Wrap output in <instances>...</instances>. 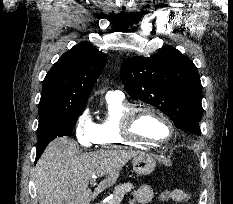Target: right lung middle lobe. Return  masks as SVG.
<instances>
[{"instance_id":"dd1d6c3e","label":"right lung middle lobe","mask_w":233,"mask_h":204,"mask_svg":"<svg viewBox=\"0 0 233 204\" xmlns=\"http://www.w3.org/2000/svg\"><path fill=\"white\" fill-rule=\"evenodd\" d=\"M83 109L69 113L53 114L40 117L38 126V146L46 145L56 137L71 135L73 127Z\"/></svg>"}]
</instances>
